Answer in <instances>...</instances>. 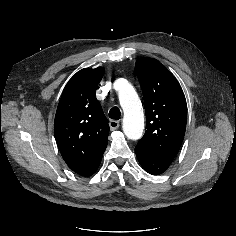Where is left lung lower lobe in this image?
<instances>
[{"mask_svg": "<svg viewBox=\"0 0 236 236\" xmlns=\"http://www.w3.org/2000/svg\"><path fill=\"white\" fill-rule=\"evenodd\" d=\"M135 152L138 161L143 169L152 175H159L164 173L171 164V162L157 158L140 149L135 148Z\"/></svg>", "mask_w": 236, "mask_h": 236, "instance_id": "obj_1", "label": "left lung lower lobe"}]
</instances>
